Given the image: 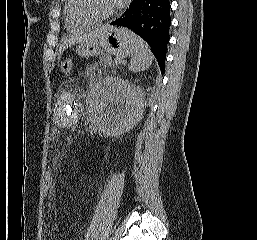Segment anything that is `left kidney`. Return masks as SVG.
Instances as JSON below:
<instances>
[{
  "label": "left kidney",
  "mask_w": 257,
  "mask_h": 240,
  "mask_svg": "<svg viewBox=\"0 0 257 240\" xmlns=\"http://www.w3.org/2000/svg\"><path fill=\"white\" fill-rule=\"evenodd\" d=\"M139 90L129 81L106 77L93 90L92 119L97 128L116 136L134 127L143 115Z\"/></svg>",
  "instance_id": "1"
}]
</instances>
